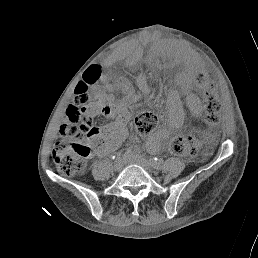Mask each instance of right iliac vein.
<instances>
[{
	"label": "right iliac vein",
	"mask_w": 258,
	"mask_h": 258,
	"mask_svg": "<svg viewBox=\"0 0 258 258\" xmlns=\"http://www.w3.org/2000/svg\"><path fill=\"white\" fill-rule=\"evenodd\" d=\"M123 165H124V162H123V160H121V159H117V160H115V162H114V168H115V170H121L122 169V167H123Z\"/></svg>",
	"instance_id": "obj_1"
}]
</instances>
